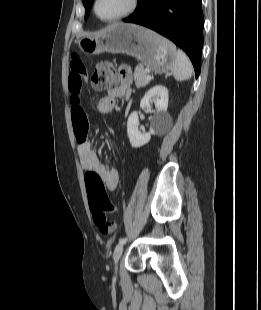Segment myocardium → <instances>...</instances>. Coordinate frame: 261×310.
<instances>
[{
    "instance_id": "myocardium-1",
    "label": "myocardium",
    "mask_w": 261,
    "mask_h": 310,
    "mask_svg": "<svg viewBox=\"0 0 261 310\" xmlns=\"http://www.w3.org/2000/svg\"><path fill=\"white\" fill-rule=\"evenodd\" d=\"M98 3H99V0H94L93 2V12L96 18L104 23H114V22L123 20L129 17L131 14H133L138 7L139 0H129L127 8L123 12H121L120 14L112 18H103L99 15L98 10H97Z\"/></svg>"
}]
</instances>
